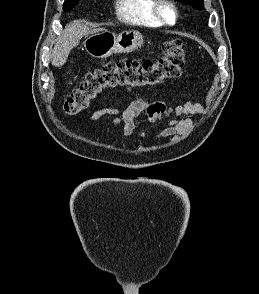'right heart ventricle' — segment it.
Returning a JSON list of instances; mask_svg holds the SVG:
<instances>
[{
	"instance_id": "right-heart-ventricle-1",
	"label": "right heart ventricle",
	"mask_w": 259,
	"mask_h": 294,
	"mask_svg": "<svg viewBox=\"0 0 259 294\" xmlns=\"http://www.w3.org/2000/svg\"><path fill=\"white\" fill-rule=\"evenodd\" d=\"M154 0H116L118 18L127 24L156 28L161 24L152 13Z\"/></svg>"
}]
</instances>
